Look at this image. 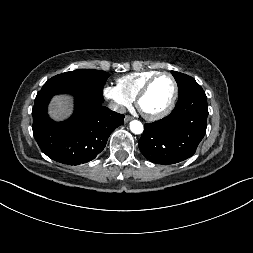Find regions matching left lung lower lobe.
Wrapping results in <instances>:
<instances>
[{
	"label": "left lung lower lobe",
	"instance_id": "0a47b994",
	"mask_svg": "<svg viewBox=\"0 0 253 253\" xmlns=\"http://www.w3.org/2000/svg\"><path fill=\"white\" fill-rule=\"evenodd\" d=\"M207 97L195 82L179 93L174 110L167 117L145 124L139 140L141 153L157 164H175L194 155L206 133Z\"/></svg>",
	"mask_w": 253,
	"mask_h": 253
}]
</instances>
